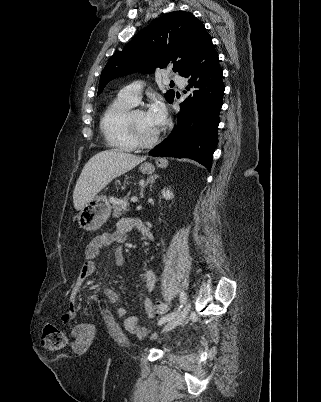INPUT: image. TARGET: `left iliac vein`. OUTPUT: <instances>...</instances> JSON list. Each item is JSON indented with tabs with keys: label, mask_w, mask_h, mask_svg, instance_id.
<instances>
[{
	"label": "left iliac vein",
	"mask_w": 321,
	"mask_h": 402,
	"mask_svg": "<svg viewBox=\"0 0 321 402\" xmlns=\"http://www.w3.org/2000/svg\"><path fill=\"white\" fill-rule=\"evenodd\" d=\"M191 309V303L187 302L185 306L174 316L170 319L165 326L163 327L162 332H168L174 329L177 325H179L188 315Z\"/></svg>",
	"instance_id": "1"
}]
</instances>
